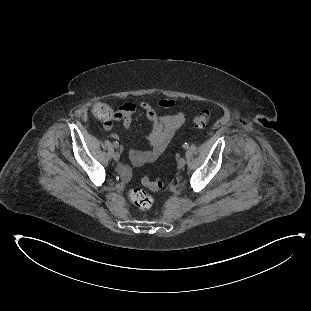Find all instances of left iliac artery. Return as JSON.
Masks as SVG:
<instances>
[{"label": "left iliac artery", "instance_id": "44dca946", "mask_svg": "<svg viewBox=\"0 0 311 311\" xmlns=\"http://www.w3.org/2000/svg\"><path fill=\"white\" fill-rule=\"evenodd\" d=\"M188 146H189L188 143H184V144H183V148H184V149H187Z\"/></svg>", "mask_w": 311, "mask_h": 311}]
</instances>
